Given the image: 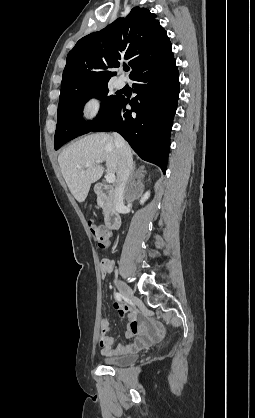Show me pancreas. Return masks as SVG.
Returning <instances> with one entry per match:
<instances>
[{"label":"pancreas","mask_w":255,"mask_h":418,"mask_svg":"<svg viewBox=\"0 0 255 418\" xmlns=\"http://www.w3.org/2000/svg\"><path fill=\"white\" fill-rule=\"evenodd\" d=\"M98 206L104 207V202L101 198L98 199Z\"/></svg>","instance_id":"pancreas-1"}]
</instances>
